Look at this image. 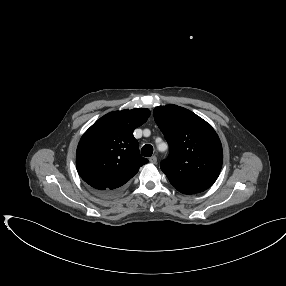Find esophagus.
Returning <instances> with one entry per match:
<instances>
[{"label": "esophagus", "instance_id": "1", "mask_svg": "<svg viewBox=\"0 0 286 286\" xmlns=\"http://www.w3.org/2000/svg\"><path fill=\"white\" fill-rule=\"evenodd\" d=\"M149 161L152 163V164H156L157 163V157L156 156H152L149 158Z\"/></svg>", "mask_w": 286, "mask_h": 286}]
</instances>
